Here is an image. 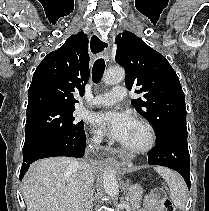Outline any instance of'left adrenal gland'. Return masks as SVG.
Listing matches in <instances>:
<instances>
[{
	"mask_svg": "<svg viewBox=\"0 0 209 211\" xmlns=\"http://www.w3.org/2000/svg\"><path fill=\"white\" fill-rule=\"evenodd\" d=\"M126 193L128 194L127 187H125Z\"/></svg>",
	"mask_w": 209,
	"mask_h": 211,
	"instance_id": "left-adrenal-gland-1",
	"label": "left adrenal gland"
}]
</instances>
